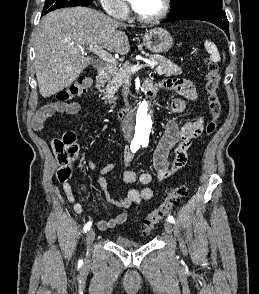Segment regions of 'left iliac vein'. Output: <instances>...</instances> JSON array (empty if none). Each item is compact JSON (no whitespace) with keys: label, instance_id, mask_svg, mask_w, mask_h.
I'll list each match as a JSON object with an SVG mask.
<instances>
[{"label":"left iliac vein","instance_id":"4c4485c4","mask_svg":"<svg viewBox=\"0 0 259 294\" xmlns=\"http://www.w3.org/2000/svg\"><path fill=\"white\" fill-rule=\"evenodd\" d=\"M164 229L168 235H171L173 233V226L169 221H165Z\"/></svg>","mask_w":259,"mask_h":294}]
</instances>
